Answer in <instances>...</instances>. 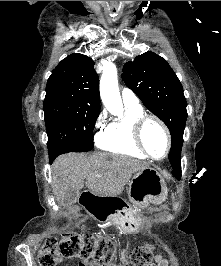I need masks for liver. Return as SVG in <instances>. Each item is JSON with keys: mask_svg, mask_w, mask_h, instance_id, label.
<instances>
[{"mask_svg": "<svg viewBox=\"0 0 221 266\" xmlns=\"http://www.w3.org/2000/svg\"><path fill=\"white\" fill-rule=\"evenodd\" d=\"M149 164L129 156L97 152L67 153L56 158L52 165V189L61 200L70 189H106V194L120 195L132 174Z\"/></svg>", "mask_w": 221, "mask_h": 266, "instance_id": "liver-1", "label": "liver"}]
</instances>
